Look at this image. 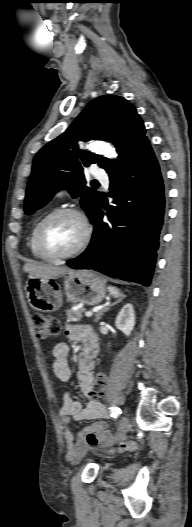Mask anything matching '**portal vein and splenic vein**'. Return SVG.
<instances>
[{
    "mask_svg": "<svg viewBox=\"0 0 192 527\" xmlns=\"http://www.w3.org/2000/svg\"><path fill=\"white\" fill-rule=\"evenodd\" d=\"M92 315H93V312H92V311H87V312H85V316H87V317H90V316H92Z\"/></svg>",
    "mask_w": 192,
    "mask_h": 527,
    "instance_id": "18ae733b",
    "label": "portal vein and splenic vein"
}]
</instances>
